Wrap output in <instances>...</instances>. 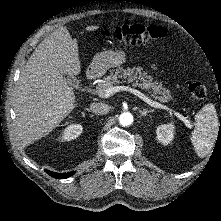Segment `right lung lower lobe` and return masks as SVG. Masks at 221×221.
<instances>
[{
	"label": "right lung lower lobe",
	"instance_id": "obj_1",
	"mask_svg": "<svg viewBox=\"0 0 221 221\" xmlns=\"http://www.w3.org/2000/svg\"><path fill=\"white\" fill-rule=\"evenodd\" d=\"M48 175L54 177V178H57V179H65V178H68L70 176H72L75 172H68V173H55V172H52V171H49V170H46L45 171Z\"/></svg>",
	"mask_w": 221,
	"mask_h": 221
}]
</instances>
